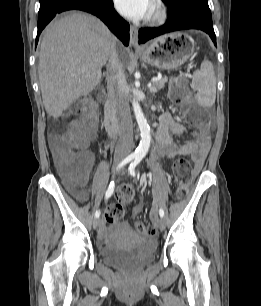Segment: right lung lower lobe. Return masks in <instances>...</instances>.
<instances>
[{
  "label": "right lung lower lobe",
  "instance_id": "1",
  "mask_svg": "<svg viewBox=\"0 0 261 306\" xmlns=\"http://www.w3.org/2000/svg\"><path fill=\"white\" fill-rule=\"evenodd\" d=\"M72 9L96 15L124 45L129 44V24L115 11L112 0H40L36 45L41 31L55 15Z\"/></svg>",
  "mask_w": 261,
  "mask_h": 306
}]
</instances>
